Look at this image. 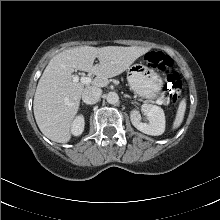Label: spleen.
<instances>
[{
	"mask_svg": "<svg viewBox=\"0 0 220 220\" xmlns=\"http://www.w3.org/2000/svg\"><path fill=\"white\" fill-rule=\"evenodd\" d=\"M186 105H187L186 99L183 98L180 101L178 108H177V111H176V116H175V119H174L173 125H172L173 130L178 129L181 126V124L184 120L185 112H186Z\"/></svg>",
	"mask_w": 220,
	"mask_h": 220,
	"instance_id": "obj_1",
	"label": "spleen"
}]
</instances>
